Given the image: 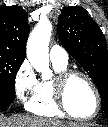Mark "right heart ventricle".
Instances as JSON below:
<instances>
[{
  "label": "right heart ventricle",
  "mask_w": 108,
  "mask_h": 127,
  "mask_svg": "<svg viewBox=\"0 0 108 127\" xmlns=\"http://www.w3.org/2000/svg\"><path fill=\"white\" fill-rule=\"evenodd\" d=\"M52 64L57 74L67 70V64ZM27 109L42 117L61 118L65 116L56 104L54 79L39 81L37 91L27 104Z\"/></svg>",
  "instance_id": "e07e8e85"
}]
</instances>
